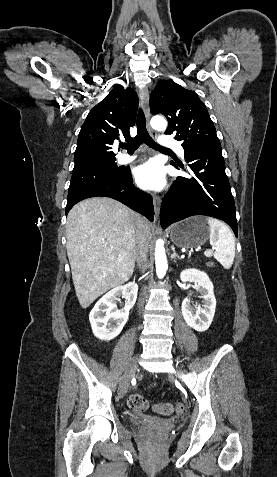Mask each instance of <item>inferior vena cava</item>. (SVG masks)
<instances>
[{"mask_svg": "<svg viewBox=\"0 0 277 477\" xmlns=\"http://www.w3.org/2000/svg\"><path fill=\"white\" fill-rule=\"evenodd\" d=\"M137 237H136V259L137 265L140 269L145 270L147 268V252L149 244V231L144 218L138 217L137 219ZM144 298L141 299L139 307H142Z\"/></svg>", "mask_w": 277, "mask_h": 477, "instance_id": "1", "label": "inferior vena cava"}]
</instances>
